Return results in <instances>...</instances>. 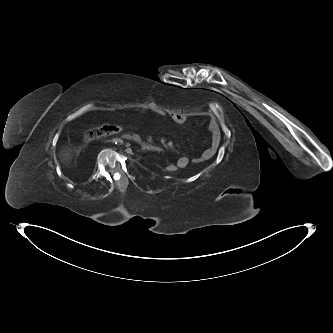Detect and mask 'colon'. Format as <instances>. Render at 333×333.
Instances as JSON below:
<instances>
[{
	"label": "colon",
	"instance_id": "5ec220e1",
	"mask_svg": "<svg viewBox=\"0 0 333 333\" xmlns=\"http://www.w3.org/2000/svg\"><path fill=\"white\" fill-rule=\"evenodd\" d=\"M126 128H131V123H126ZM122 130V126L118 125V124H108V125H102L99 127H95L93 129H91L90 131H88L85 136H84V140L85 142H91L93 140H96L98 138L101 137H105V136H110L113 134H116L118 132H120ZM166 171L174 173L177 170L176 165L168 163L165 166ZM178 171H182V168H178Z\"/></svg>",
	"mask_w": 333,
	"mask_h": 333
}]
</instances>
